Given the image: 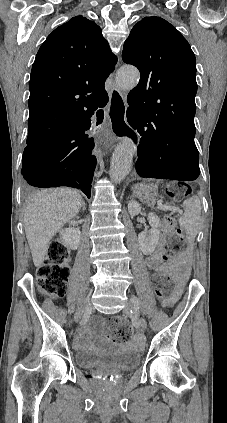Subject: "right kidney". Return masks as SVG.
Segmentation results:
<instances>
[{
    "label": "right kidney",
    "instance_id": "obj_1",
    "mask_svg": "<svg viewBox=\"0 0 227 423\" xmlns=\"http://www.w3.org/2000/svg\"><path fill=\"white\" fill-rule=\"evenodd\" d=\"M81 231L79 227H65L60 231V243H63L65 247H71V249H77L80 245Z\"/></svg>",
    "mask_w": 227,
    "mask_h": 423
}]
</instances>
